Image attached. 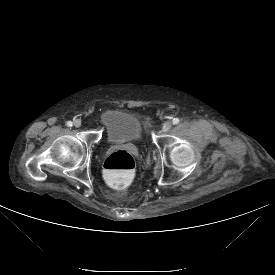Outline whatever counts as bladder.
Instances as JSON below:
<instances>
[{
    "instance_id": "obj_1",
    "label": "bladder",
    "mask_w": 275,
    "mask_h": 275,
    "mask_svg": "<svg viewBox=\"0 0 275 275\" xmlns=\"http://www.w3.org/2000/svg\"><path fill=\"white\" fill-rule=\"evenodd\" d=\"M107 139L113 143H132L142 134L143 120L136 112L112 109L102 115Z\"/></svg>"
}]
</instances>
